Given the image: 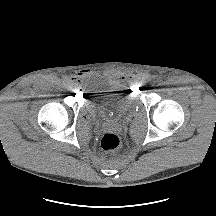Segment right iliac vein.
<instances>
[{
	"label": "right iliac vein",
	"instance_id": "obj_1",
	"mask_svg": "<svg viewBox=\"0 0 216 216\" xmlns=\"http://www.w3.org/2000/svg\"><path fill=\"white\" fill-rule=\"evenodd\" d=\"M72 91H73V92H76V91H77V87H76L75 85L72 87Z\"/></svg>",
	"mask_w": 216,
	"mask_h": 216
}]
</instances>
